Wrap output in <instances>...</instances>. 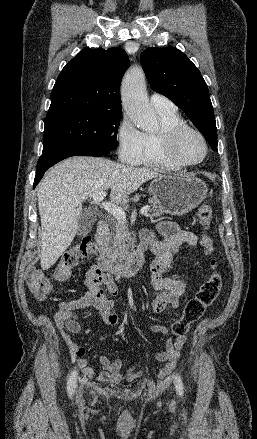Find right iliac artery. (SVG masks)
I'll use <instances>...</instances> for the list:
<instances>
[{
    "mask_svg": "<svg viewBox=\"0 0 257 439\" xmlns=\"http://www.w3.org/2000/svg\"><path fill=\"white\" fill-rule=\"evenodd\" d=\"M76 376H77V371L76 370L72 371V373L69 376L68 383H67V390H68L69 396H72L74 391H75V388H76Z\"/></svg>",
    "mask_w": 257,
    "mask_h": 439,
    "instance_id": "right-iliac-artery-1",
    "label": "right iliac artery"
}]
</instances>
